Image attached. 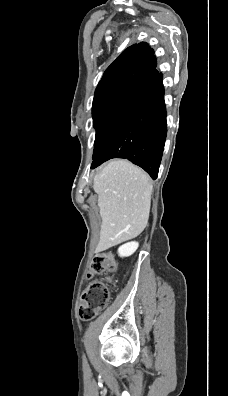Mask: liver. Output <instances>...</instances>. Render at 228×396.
Returning a JSON list of instances; mask_svg holds the SVG:
<instances>
[{
    "label": "liver",
    "instance_id": "1",
    "mask_svg": "<svg viewBox=\"0 0 228 396\" xmlns=\"http://www.w3.org/2000/svg\"><path fill=\"white\" fill-rule=\"evenodd\" d=\"M102 224L97 252L137 237L149 219L152 184L149 176L127 160L109 162L96 174Z\"/></svg>",
    "mask_w": 228,
    "mask_h": 396
}]
</instances>
